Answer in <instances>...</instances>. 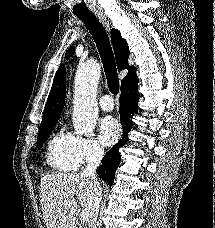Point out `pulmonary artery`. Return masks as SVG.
Listing matches in <instances>:
<instances>
[{"instance_id":"1","label":"pulmonary artery","mask_w":215,"mask_h":228,"mask_svg":"<svg viewBox=\"0 0 215 228\" xmlns=\"http://www.w3.org/2000/svg\"><path fill=\"white\" fill-rule=\"evenodd\" d=\"M99 104L104 111H111L114 108V101L110 95L103 96Z\"/></svg>"}]
</instances>
